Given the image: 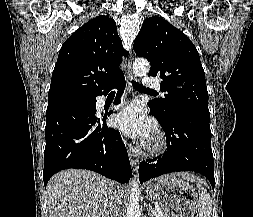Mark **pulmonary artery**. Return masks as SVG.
I'll return each instance as SVG.
<instances>
[{
	"label": "pulmonary artery",
	"mask_w": 253,
	"mask_h": 217,
	"mask_svg": "<svg viewBox=\"0 0 253 217\" xmlns=\"http://www.w3.org/2000/svg\"><path fill=\"white\" fill-rule=\"evenodd\" d=\"M144 85L149 90H158L160 88V85L156 80L148 77L144 79Z\"/></svg>",
	"instance_id": "obj_1"
}]
</instances>
